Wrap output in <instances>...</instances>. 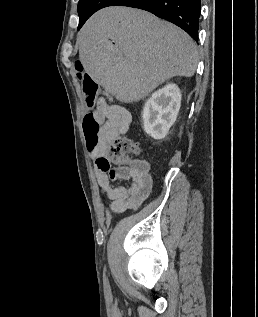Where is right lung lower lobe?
Returning a JSON list of instances; mask_svg holds the SVG:
<instances>
[{
	"label": "right lung lower lobe",
	"instance_id": "right-lung-lower-lobe-1",
	"mask_svg": "<svg viewBox=\"0 0 258 317\" xmlns=\"http://www.w3.org/2000/svg\"><path fill=\"white\" fill-rule=\"evenodd\" d=\"M114 5L149 11L179 26L198 42L200 0H87L78 11V30L93 13Z\"/></svg>",
	"mask_w": 258,
	"mask_h": 317
}]
</instances>
